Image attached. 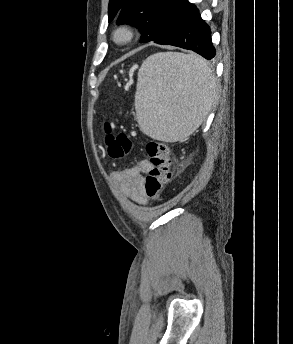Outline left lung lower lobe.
<instances>
[{
    "label": "left lung lower lobe",
    "instance_id": "left-lung-lower-lobe-1",
    "mask_svg": "<svg viewBox=\"0 0 293 344\" xmlns=\"http://www.w3.org/2000/svg\"><path fill=\"white\" fill-rule=\"evenodd\" d=\"M159 44L189 49L208 60L216 55L210 28L201 19L199 10L193 4L175 30Z\"/></svg>",
    "mask_w": 293,
    "mask_h": 344
}]
</instances>
